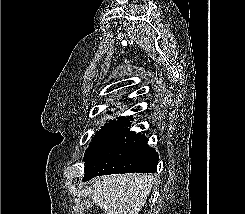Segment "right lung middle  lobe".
Returning a JSON list of instances; mask_svg holds the SVG:
<instances>
[{
  "label": "right lung middle lobe",
  "mask_w": 245,
  "mask_h": 214,
  "mask_svg": "<svg viewBox=\"0 0 245 214\" xmlns=\"http://www.w3.org/2000/svg\"><path fill=\"white\" fill-rule=\"evenodd\" d=\"M126 130L105 135H95L85 154V176L105 173L119 165L118 146L126 139Z\"/></svg>",
  "instance_id": "right-lung-middle-lobe-1"
}]
</instances>
